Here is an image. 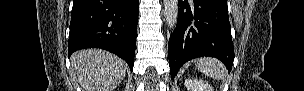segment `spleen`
<instances>
[{"label": "spleen", "instance_id": "3e777b00", "mask_svg": "<svg viewBox=\"0 0 304 91\" xmlns=\"http://www.w3.org/2000/svg\"><path fill=\"white\" fill-rule=\"evenodd\" d=\"M195 66L205 75L222 79L224 77V66L221 62L213 58H199L195 61Z\"/></svg>", "mask_w": 304, "mask_h": 91}]
</instances>
